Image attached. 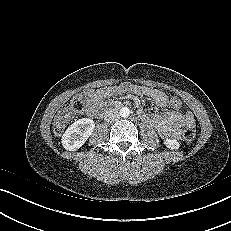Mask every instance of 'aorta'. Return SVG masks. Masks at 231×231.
I'll list each match as a JSON object with an SVG mask.
<instances>
[{"label":"aorta","instance_id":"762f6f07","mask_svg":"<svg viewBox=\"0 0 231 231\" xmlns=\"http://www.w3.org/2000/svg\"><path fill=\"white\" fill-rule=\"evenodd\" d=\"M119 114L123 118H127L130 115V110L128 107H122L119 111Z\"/></svg>","mask_w":231,"mask_h":231}]
</instances>
